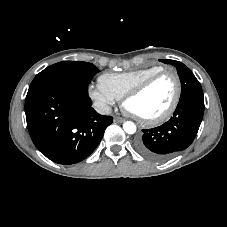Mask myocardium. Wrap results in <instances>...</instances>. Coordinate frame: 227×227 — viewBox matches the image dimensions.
<instances>
[{
	"label": "myocardium",
	"mask_w": 227,
	"mask_h": 227,
	"mask_svg": "<svg viewBox=\"0 0 227 227\" xmlns=\"http://www.w3.org/2000/svg\"><path fill=\"white\" fill-rule=\"evenodd\" d=\"M166 74H170L175 81V94H174L172 102L170 103L168 108L162 114H160L156 117H153V118H142V117H139V116L129 112L126 109V103L128 100H130L131 98L138 96L139 94L144 92L154 81H156L158 78H160L161 76L166 75ZM181 93H182V85H181V80H180L178 73L172 69H162V70L150 75L149 77L144 79L142 82H140L139 84H137L136 86H134L133 88L128 90L122 97V106L125 108V110L128 113L132 114V116L134 118H136L142 124L149 125V126L158 125V124H161V123L165 122L166 120H168L172 116V114L175 112V110L179 104L180 98H181Z\"/></svg>",
	"instance_id": "f54148a6"
}]
</instances>
